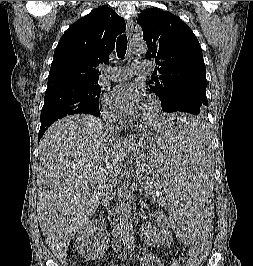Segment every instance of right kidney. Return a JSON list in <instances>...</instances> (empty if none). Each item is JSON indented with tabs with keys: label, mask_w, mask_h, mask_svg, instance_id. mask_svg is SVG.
<instances>
[{
	"label": "right kidney",
	"mask_w": 253,
	"mask_h": 266,
	"mask_svg": "<svg viewBox=\"0 0 253 266\" xmlns=\"http://www.w3.org/2000/svg\"><path fill=\"white\" fill-rule=\"evenodd\" d=\"M109 235L107 230L95 220H89L81 227L77 234L79 252L87 260L103 257L107 250Z\"/></svg>",
	"instance_id": "1"
}]
</instances>
